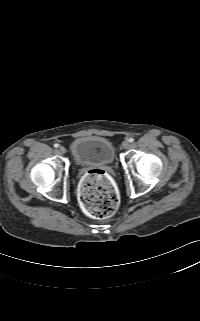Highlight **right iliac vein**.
Returning <instances> with one entry per match:
<instances>
[{
    "label": "right iliac vein",
    "mask_w": 200,
    "mask_h": 321,
    "mask_svg": "<svg viewBox=\"0 0 200 321\" xmlns=\"http://www.w3.org/2000/svg\"><path fill=\"white\" fill-rule=\"evenodd\" d=\"M58 151L61 153V154H64L65 153V148L63 146H60Z\"/></svg>",
    "instance_id": "1"
}]
</instances>
